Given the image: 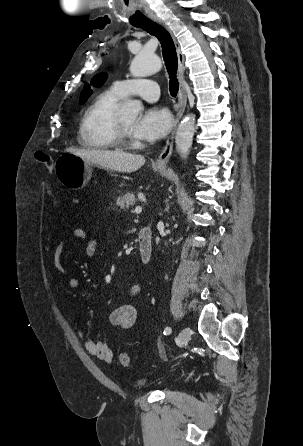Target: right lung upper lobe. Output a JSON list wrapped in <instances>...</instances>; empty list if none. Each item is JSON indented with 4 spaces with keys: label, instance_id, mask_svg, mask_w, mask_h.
Masks as SVG:
<instances>
[{
    "label": "right lung upper lobe",
    "instance_id": "right-lung-upper-lobe-1",
    "mask_svg": "<svg viewBox=\"0 0 303 446\" xmlns=\"http://www.w3.org/2000/svg\"><path fill=\"white\" fill-rule=\"evenodd\" d=\"M106 78H107L106 74H99L92 79L91 84L97 87L101 86L106 81ZM91 93L92 90L90 86L88 84H85L84 89L81 93V102H85L86 99L91 95Z\"/></svg>",
    "mask_w": 303,
    "mask_h": 446
}]
</instances>
